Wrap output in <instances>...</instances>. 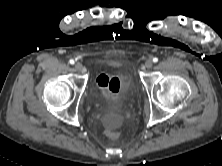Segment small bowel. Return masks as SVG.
Here are the masks:
<instances>
[{"label": "small bowel", "instance_id": "small-bowel-1", "mask_svg": "<svg viewBox=\"0 0 222 166\" xmlns=\"http://www.w3.org/2000/svg\"><path fill=\"white\" fill-rule=\"evenodd\" d=\"M96 85L107 100L116 101L126 90L128 82L122 75L110 76L101 74L96 78Z\"/></svg>", "mask_w": 222, "mask_h": 166}]
</instances>
